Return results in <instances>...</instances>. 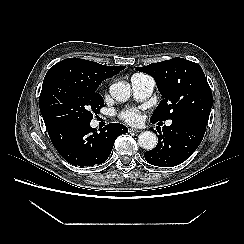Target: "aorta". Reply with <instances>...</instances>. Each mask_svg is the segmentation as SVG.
Instances as JSON below:
<instances>
[{"label":"aorta","instance_id":"aorta-1","mask_svg":"<svg viewBox=\"0 0 244 244\" xmlns=\"http://www.w3.org/2000/svg\"><path fill=\"white\" fill-rule=\"evenodd\" d=\"M110 94L118 102H126L131 94V87L126 82L114 83L110 86ZM138 144L146 150H152L157 145V136L151 131H144L138 136Z\"/></svg>","mask_w":244,"mask_h":244}]
</instances>
